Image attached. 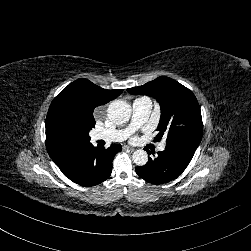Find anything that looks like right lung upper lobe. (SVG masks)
<instances>
[{"instance_id":"right-lung-upper-lobe-1","label":"right lung upper lobe","mask_w":251,"mask_h":251,"mask_svg":"<svg viewBox=\"0 0 251 251\" xmlns=\"http://www.w3.org/2000/svg\"><path fill=\"white\" fill-rule=\"evenodd\" d=\"M107 90L80 78L65 87L52 101L46 117V148L53 161L67 151L90 144L89 131L95 126L93 111L122 93ZM61 120L68 125L61 127Z\"/></svg>"}]
</instances>
